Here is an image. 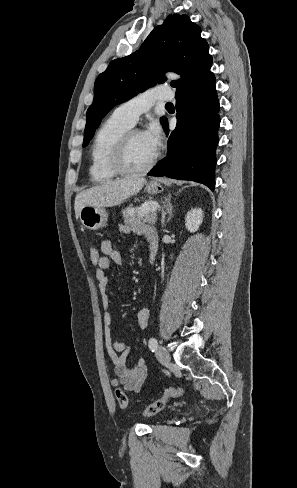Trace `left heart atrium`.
<instances>
[{"instance_id": "39dd6f15", "label": "left heart atrium", "mask_w": 297, "mask_h": 488, "mask_svg": "<svg viewBox=\"0 0 297 488\" xmlns=\"http://www.w3.org/2000/svg\"><path fill=\"white\" fill-rule=\"evenodd\" d=\"M150 149L156 154L162 145V131L160 126L153 122L142 133Z\"/></svg>"}]
</instances>
